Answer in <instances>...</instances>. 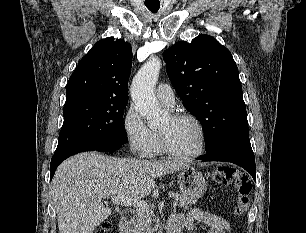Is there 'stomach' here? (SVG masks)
<instances>
[{"mask_svg":"<svg viewBox=\"0 0 306 233\" xmlns=\"http://www.w3.org/2000/svg\"><path fill=\"white\" fill-rule=\"evenodd\" d=\"M177 183L183 195L195 199L201 197L206 191V181L203 174L190 166L178 173Z\"/></svg>","mask_w":306,"mask_h":233,"instance_id":"0dacf381","label":"stomach"}]
</instances>
